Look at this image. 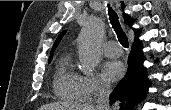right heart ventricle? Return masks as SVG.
Here are the masks:
<instances>
[{"mask_svg":"<svg viewBox=\"0 0 171 110\" xmlns=\"http://www.w3.org/2000/svg\"><path fill=\"white\" fill-rule=\"evenodd\" d=\"M54 92L66 101L75 102L87 99L82 76L72 68L69 55L62 56L58 62L54 74Z\"/></svg>","mask_w":171,"mask_h":110,"instance_id":"1","label":"right heart ventricle"}]
</instances>
